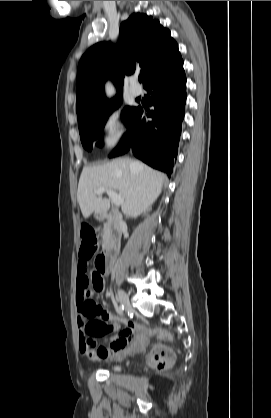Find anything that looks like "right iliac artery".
Returning <instances> with one entry per match:
<instances>
[{"label":"right iliac artery","mask_w":271,"mask_h":418,"mask_svg":"<svg viewBox=\"0 0 271 418\" xmlns=\"http://www.w3.org/2000/svg\"><path fill=\"white\" fill-rule=\"evenodd\" d=\"M123 310H124V306L123 305H119V306H117V312L118 313H122L123 312Z\"/></svg>","instance_id":"obj_1"}]
</instances>
